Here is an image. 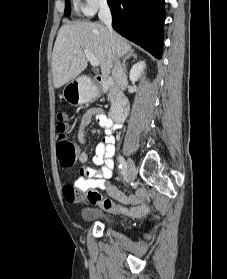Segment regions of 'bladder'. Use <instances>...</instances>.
Returning <instances> with one entry per match:
<instances>
[{
  "label": "bladder",
  "instance_id": "31cf9c89",
  "mask_svg": "<svg viewBox=\"0 0 227 279\" xmlns=\"http://www.w3.org/2000/svg\"><path fill=\"white\" fill-rule=\"evenodd\" d=\"M81 219L84 223L102 222L106 226H114L115 224L114 220L108 215L90 209H85L83 211Z\"/></svg>",
  "mask_w": 227,
  "mask_h": 279
}]
</instances>
